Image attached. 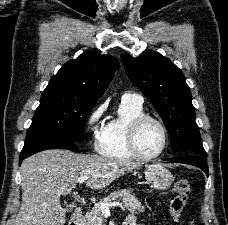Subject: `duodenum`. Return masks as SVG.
<instances>
[{"label":"duodenum","instance_id":"duodenum-1","mask_svg":"<svg viewBox=\"0 0 228 225\" xmlns=\"http://www.w3.org/2000/svg\"><path fill=\"white\" fill-rule=\"evenodd\" d=\"M83 212H84V206L78 205L75 208L70 220L68 221V225H82ZM123 225H136V223L134 218L129 216L128 218H126Z\"/></svg>","mask_w":228,"mask_h":225}]
</instances>
